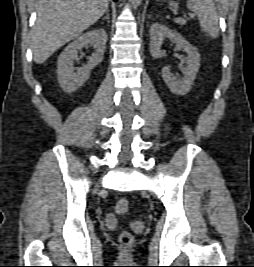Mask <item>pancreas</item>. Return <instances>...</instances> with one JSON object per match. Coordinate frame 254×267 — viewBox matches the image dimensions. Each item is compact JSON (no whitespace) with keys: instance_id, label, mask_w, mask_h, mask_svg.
Segmentation results:
<instances>
[{"instance_id":"1","label":"pancreas","mask_w":254,"mask_h":267,"mask_svg":"<svg viewBox=\"0 0 254 267\" xmlns=\"http://www.w3.org/2000/svg\"><path fill=\"white\" fill-rule=\"evenodd\" d=\"M175 22L180 24V25H185L186 24V20L183 18H177L175 19Z\"/></svg>"}]
</instances>
